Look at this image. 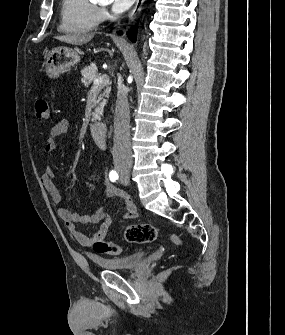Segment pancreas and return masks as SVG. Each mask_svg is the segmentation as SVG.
<instances>
[{"label": "pancreas", "mask_w": 285, "mask_h": 335, "mask_svg": "<svg viewBox=\"0 0 285 335\" xmlns=\"http://www.w3.org/2000/svg\"><path fill=\"white\" fill-rule=\"evenodd\" d=\"M97 68L95 64H91V66H87V68H84L82 70L81 76V82H82V89L88 90L89 84H93V82L97 79ZM110 94V88H106L104 90L103 94H100L98 98V102H101V100H104V96H108ZM93 112H91L90 117L93 120V122H101L102 121V112H103V106L101 105H94Z\"/></svg>", "instance_id": "pancreas-1"}]
</instances>
